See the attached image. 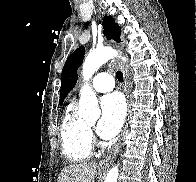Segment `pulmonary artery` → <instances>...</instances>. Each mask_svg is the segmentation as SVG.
<instances>
[{
  "instance_id": "pulmonary-artery-1",
  "label": "pulmonary artery",
  "mask_w": 196,
  "mask_h": 182,
  "mask_svg": "<svg viewBox=\"0 0 196 182\" xmlns=\"http://www.w3.org/2000/svg\"><path fill=\"white\" fill-rule=\"evenodd\" d=\"M91 88L96 92H109L114 88L113 78L105 73H99L92 80Z\"/></svg>"
}]
</instances>
